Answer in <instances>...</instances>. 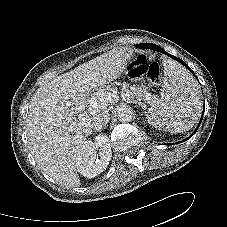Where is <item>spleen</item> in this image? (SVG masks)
Returning a JSON list of instances; mask_svg holds the SVG:
<instances>
[{
  "instance_id": "1",
  "label": "spleen",
  "mask_w": 227,
  "mask_h": 227,
  "mask_svg": "<svg viewBox=\"0 0 227 227\" xmlns=\"http://www.w3.org/2000/svg\"><path fill=\"white\" fill-rule=\"evenodd\" d=\"M161 97L153 100L146 118L152 126L170 132L191 129L201 113V95L193 77L173 60H164Z\"/></svg>"
}]
</instances>
